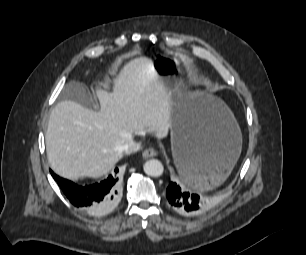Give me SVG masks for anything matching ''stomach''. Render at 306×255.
Wrapping results in <instances>:
<instances>
[{
    "instance_id": "obj_1",
    "label": "stomach",
    "mask_w": 306,
    "mask_h": 255,
    "mask_svg": "<svg viewBox=\"0 0 306 255\" xmlns=\"http://www.w3.org/2000/svg\"><path fill=\"white\" fill-rule=\"evenodd\" d=\"M140 48L152 59L170 94L171 149L179 173L183 160L190 158L209 171L201 183L184 179L188 185L202 191L219 186L230 175L242 148V134L232 112L221 99L184 84L179 76L180 59L163 55L150 41H143Z\"/></svg>"
}]
</instances>
